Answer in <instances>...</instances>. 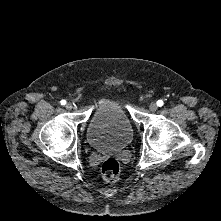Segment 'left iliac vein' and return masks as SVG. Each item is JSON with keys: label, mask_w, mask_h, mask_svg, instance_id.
<instances>
[{"label": "left iliac vein", "mask_w": 221, "mask_h": 221, "mask_svg": "<svg viewBox=\"0 0 221 221\" xmlns=\"http://www.w3.org/2000/svg\"><path fill=\"white\" fill-rule=\"evenodd\" d=\"M157 108H158V106H157V104L154 103V102H152V103L149 105V109H150L151 111H153V112L156 111Z\"/></svg>", "instance_id": "obj_1"}]
</instances>
